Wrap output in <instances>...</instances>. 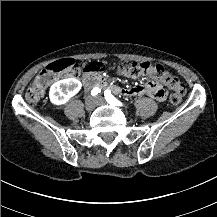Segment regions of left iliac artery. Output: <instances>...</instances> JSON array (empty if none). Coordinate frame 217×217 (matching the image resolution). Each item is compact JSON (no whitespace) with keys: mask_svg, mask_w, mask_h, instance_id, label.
<instances>
[{"mask_svg":"<svg viewBox=\"0 0 217 217\" xmlns=\"http://www.w3.org/2000/svg\"><path fill=\"white\" fill-rule=\"evenodd\" d=\"M104 96H105V99L108 103H114L118 106H122V103L120 101H118L112 94H111V91L110 90H106L104 92Z\"/></svg>","mask_w":217,"mask_h":217,"instance_id":"obj_1","label":"left iliac artery"}]
</instances>
